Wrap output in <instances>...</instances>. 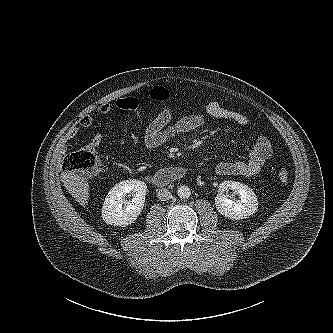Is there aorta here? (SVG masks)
Wrapping results in <instances>:
<instances>
[{
	"mask_svg": "<svg viewBox=\"0 0 333 333\" xmlns=\"http://www.w3.org/2000/svg\"><path fill=\"white\" fill-rule=\"evenodd\" d=\"M177 194L181 199H188L191 196V190L188 186H180L177 190Z\"/></svg>",
	"mask_w": 333,
	"mask_h": 333,
	"instance_id": "1",
	"label": "aorta"
}]
</instances>
